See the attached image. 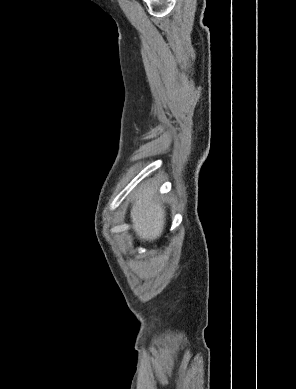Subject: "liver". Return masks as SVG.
<instances>
[{
	"instance_id": "6515ba94",
	"label": "liver",
	"mask_w": 296,
	"mask_h": 389,
	"mask_svg": "<svg viewBox=\"0 0 296 389\" xmlns=\"http://www.w3.org/2000/svg\"><path fill=\"white\" fill-rule=\"evenodd\" d=\"M131 222L140 240L149 242L159 238L165 225V207L156 201L155 189L147 187L140 191L132 205Z\"/></svg>"
}]
</instances>
